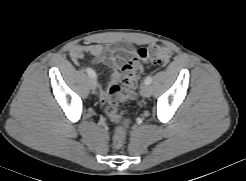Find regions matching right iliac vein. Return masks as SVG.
<instances>
[{
	"label": "right iliac vein",
	"instance_id": "63e3f726",
	"mask_svg": "<svg viewBox=\"0 0 246 181\" xmlns=\"http://www.w3.org/2000/svg\"><path fill=\"white\" fill-rule=\"evenodd\" d=\"M90 88L94 91L96 89V81L94 78H90L89 80Z\"/></svg>",
	"mask_w": 246,
	"mask_h": 181
}]
</instances>
